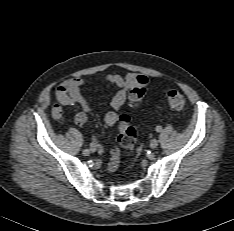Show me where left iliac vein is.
<instances>
[{"label": "left iliac vein", "instance_id": "obj_1", "mask_svg": "<svg viewBox=\"0 0 234 231\" xmlns=\"http://www.w3.org/2000/svg\"><path fill=\"white\" fill-rule=\"evenodd\" d=\"M157 146H158V140H157V139H152V140L150 141V147H151L152 149H155V148H157Z\"/></svg>", "mask_w": 234, "mask_h": 231}]
</instances>
